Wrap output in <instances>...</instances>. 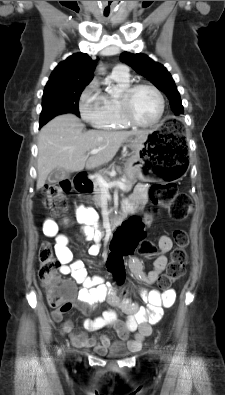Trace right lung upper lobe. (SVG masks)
<instances>
[{"label":"right lung upper lobe","instance_id":"obj_1","mask_svg":"<svg viewBox=\"0 0 225 395\" xmlns=\"http://www.w3.org/2000/svg\"><path fill=\"white\" fill-rule=\"evenodd\" d=\"M96 62L85 53L73 54L53 70L46 87L87 85L93 78Z\"/></svg>","mask_w":225,"mask_h":395}]
</instances>
